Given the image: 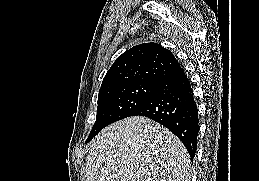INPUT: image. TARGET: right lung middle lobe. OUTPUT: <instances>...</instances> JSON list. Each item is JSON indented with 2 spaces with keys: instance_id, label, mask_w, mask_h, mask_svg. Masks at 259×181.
Returning a JSON list of instances; mask_svg holds the SVG:
<instances>
[{
  "instance_id": "dd1d6c3e",
  "label": "right lung middle lobe",
  "mask_w": 259,
  "mask_h": 181,
  "mask_svg": "<svg viewBox=\"0 0 259 181\" xmlns=\"http://www.w3.org/2000/svg\"><path fill=\"white\" fill-rule=\"evenodd\" d=\"M156 86L154 83H136L99 92L96 122L86 142L109 124L132 116L152 96Z\"/></svg>"
}]
</instances>
